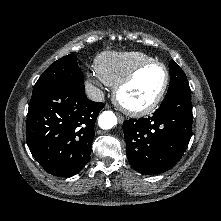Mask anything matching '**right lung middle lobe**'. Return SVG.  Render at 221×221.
<instances>
[{
  "label": "right lung middle lobe",
  "instance_id": "1",
  "mask_svg": "<svg viewBox=\"0 0 221 221\" xmlns=\"http://www.w3.org/2000/svg\"><path fill=\"white\" fill-rule=\"evenodd\" d=\"M62 84L84 89V79L75 55H67L55 61L36 82L31 100Z\"/></svg>",
  "mask_w": 221,
  "mask_h": 221
}]
</instances>
